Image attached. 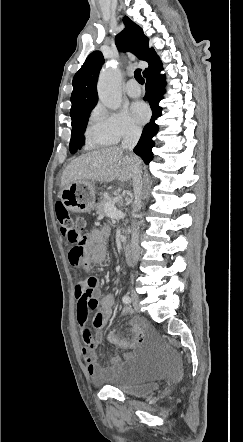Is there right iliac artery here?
Wrapping results in <instances>:
<instances>
[{
	"instance_id": "1",
	"label": "right iliac artery",
	"mask_w": 243,
	"mask_h": 442,
	"mask_svg": "<svg viewBox=\"0 0 243 442\" xmlns=\"http://www.w3.org/2000/svg\"><path fill=\"white\" fill-rule=\"evenodd\" d=\"M122 301L125 304H130L131 303V298L129 297V295H125V296H123Z\"/></svg>"
}]
</instances>
